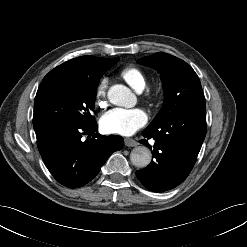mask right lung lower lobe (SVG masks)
Here are the masks:
<instances>
[{"label": "right lung lower lobe", "mask_w": 247, "mask_h": 247, "mask_svg": "<svg viewBox=\"0 0 247 247\" xmlns=\"http://www.w3.org/2000/svg\"><path fill=\"white\" fill-rule=\"evenodd\" d=\"M37 146L53 177L62 185L78 188L90 182L108 157L121 150V136H103L97 123L79 125L62 122L34 126ZM87 136L89 140H84Z\"/></svg>", "instance_id": "1"}]
</instances>
